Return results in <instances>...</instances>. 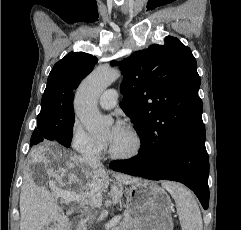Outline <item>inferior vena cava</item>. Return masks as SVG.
I'll list each match as a JSON object with an SVG mask.
<instances>
[{"instance_id": "inferior-vena-cava-1", "label": "inferior vena cava", "mask_w": 241, "mask_h": 230, "mask_svg": "<svg viewBox=\"0 0 241 230\" xmlns=\"http://www.w3.org/2000/svg\"><path fill=\"white\" fill-rule=\"evenodd\" d=\"M83 162L89 166H94V167H98L101 166V162L99 160V158L94 155V154H86L83 156L82 158ZM91 217L88 216V220H90Z\"/></svg>"}]
</instances>
